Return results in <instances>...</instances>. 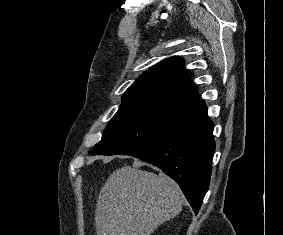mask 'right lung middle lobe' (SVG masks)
Returning <instances> with one entry per match:
<instances>
[{
  "label": "right lung middle lobe",
  "mask_w": 283,
  "mask_h": 235,
  "mask_svg": "<svg viewBox=\"0 0 283 235\" xmlns=\"http://www.w3.org/2000/svg\"><path fill=\"white\" fill-rule=\"evenodd\" d=\"M189 105L170 101L122 102L92 155L126 154L166 133Z\"/></svg>",
  "instance_id": "obj_1"
}]
</instances>
